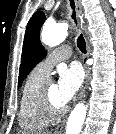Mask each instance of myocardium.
Segmentation results:
<instances>
[{"label": "myocardium", "instance_id": "1", "mask_svg": "<svg viewBox=\"0 0 116 134\" xmlns=\"http://www.w3.org/2000/svg\"><path fill=\"white\" fill-rule=\"evenodd\" d=\"M50 78H46L42 84L38 93V104L40 108L50 117H59L66 112V107L64 105L58 106L54 104L49 95V85L51 83Z\"/></svg>", "mask_w": 116, "mask_h": 134}]
</instances>
